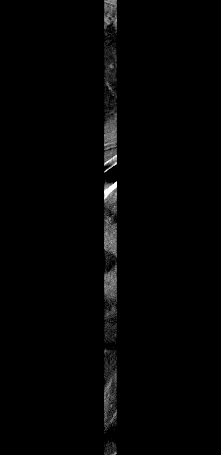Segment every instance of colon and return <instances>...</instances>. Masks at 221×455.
<instances>
[{"label": "colon", "instance_id": "5ec220e1", "mask_svg": "<svg viewBox=\"0 0 221 455\" xmlns=\"http://www.w3.org/2000/svg\"><path fill=\"white\" fill-rule=\"evenodd\" d=\"M104 254V246L102 243H98L96 246V255L97 257H102Z\"/></svg>", "mask_w": 221, "mask_h": 455}]
</instances>
